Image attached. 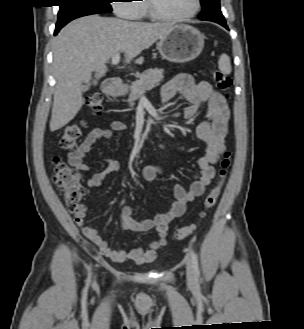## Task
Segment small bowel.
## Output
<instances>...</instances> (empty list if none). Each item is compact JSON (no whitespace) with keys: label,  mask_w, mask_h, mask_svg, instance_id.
Here are the masks:
<instances>
[{"label":"small bowel","mask_w":304,"mask_h":329,"mask_svg":"<svg viewBox=\"0 0 304 329\" xmlns=\"http://www.w3.org/2000/svg\"><path fill=\"white\" fill-rule=\"evenodd\" d=\"M177 96L186 99L190 104L183 109V117L193 119L202 104L207 105L206 120L201 122L194 131V136L206 143V149L198 159L199 173L188 189L181 185L174 190V200L170 209L151 220L139 221L133 217L131 207H124L118 214L123 227L136 232L155 230L156 238L149 244L147 249L135 247L129 251L123 249L114 250L108 242L98 234L96 229L86 226V208L81 205L78 212H74L76 224L81 228L83 235L93 242L100 253L114 262L131 260L137 264L153 260L167 244V234L170 224L185 211L187 203L195 200L204 193L214 176V165L220 159L225 150L227 125L230 118V110L224 97L215 91L207 81L195 82L188 74H179L173 78L164 88L162 99L169 102ZM127 128L122 121H113L108 127L93 129L84 142L74 151L69 153V163L80 171H88L89 166L85 162L87 154L101 139H109L114 132H120ZM120 165L113 159L107 160L104 170L92 174L87 185L89 188H98L102 180L109 173L118 171ZM143 178L147 182L154 181L164 174L159 165L150 164L143 168Z\"/></svg>","instance_id":"obj_1"}]
</instances>
